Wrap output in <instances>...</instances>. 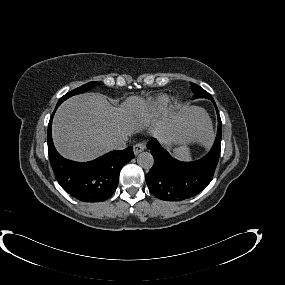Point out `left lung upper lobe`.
<instances>
[{
	"mask_svg": "<svg viewBox=\"0 0 285 285\" xmlns=\"http://www.w3.org/2000/svg\"><path fill=\"white\" fill-rule=\"evenodd\" d=\"M191 86H192V91L194 93L193 99H196V98H207L210 100L213 99L212 96L200 86L194 83H191Z\"/></svg>",
	"mask_w": 285,
	"mask_h": 285,
	"instance_id": "obj_1",
	"label": "left lung upper lobe"
}]
</instances>
